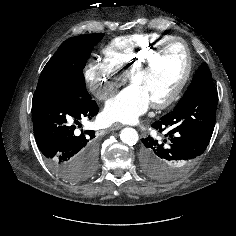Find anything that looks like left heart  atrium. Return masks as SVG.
I'll return each instance as SVG.
<instances>
[{
    "label": "left heart atrium",
    "mask_w": 236,
    "mask_h": 236,
    "mask_svg": "<svg viewBox=\"0 0 236 236\" xmlns=\"http://www.w3.org/2000/svg\"><path fill=\"white\" fill-rule=\"evenodd\" d=\"M151 101L145 91L132 84L109 99L102 113L104 122H135L150 106Z\"/></svg>",
    "instance_id": "1"
}]
</instances>
